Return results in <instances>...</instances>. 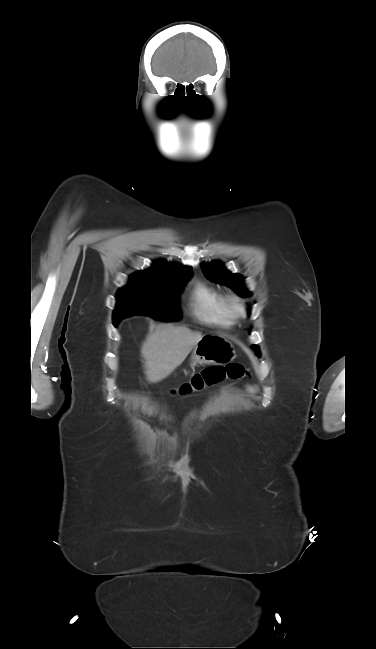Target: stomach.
I'll return each instance as SVG.
<instances>
[{
	"label": "stomach",
	"instance_id": "stomach-1",
	"mask_svg": "<svg viewBox=\"0 0 376 649\" xmlns=\"http://www.w3.org/2000/svg\"><path fill=\"white\" fill-rule=\"evenodd\" d=\"M236 358L234 346L220 336H203L194 346L191 366L203 364L226 365Z\"/></svg>",
	"mask_w": 376,
	"mask_h": 649
}]
</instances>
